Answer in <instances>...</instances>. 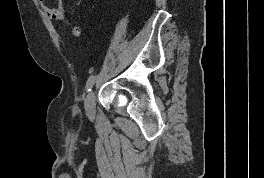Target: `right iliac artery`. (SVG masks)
Returning <instances> with one entry per match:
<instances>
[{"mask_svg":"<svg viewBox=\"0 0 264 178\" xmlns=\"http://www.w3.org/2000/svg\"><path fill=\"white\" fill-rule=\"evenodd\" d=\"M94 79H95V77L93 75L88 78L87 83H86V91L87 92L91 91V88L94 84Z\"/></svg>","mask_w":264,"mask_h":178,"instance_id":"right-iliac-artery-1","label":"right iliac artery"}]
</instances>
